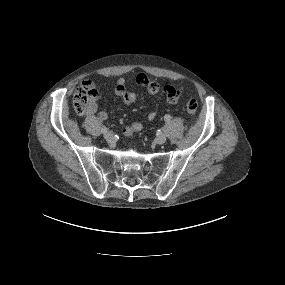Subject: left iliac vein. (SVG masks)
Listing matches in <instances>:
<instances>
[{
	"instance_id": "obj_1",
	"label": "left iliac vein",
	"mask_w": 285,
	"mask_h": 285,
	"mask_svg": "<svg viewBox=\"0 0 285 285\" xmlns=\"http://www.w3.org/2000/svg\"><path fill=\"white\" fill-rule=\"evenodd\" d=\"M156 142L158 144H164L166 142V136L164 134H160L156 137Z\"/></svg>"
}]
</instances>
